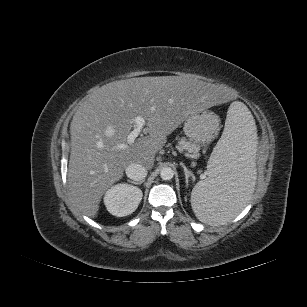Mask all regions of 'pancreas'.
Masks as SVG:
<instances>
[{
	"mask_svg": "<svg viewBox=\"0 0 307 307\" xmlns=\"http://www.w3.org/2000/svg\"><path fill=\"white\" fill-rule=\"evenodd\" d=\"M178 144H179L180 149L186 150V151H189V152H196L199 149L198 145H196V144H194L190 141H187L186 138H184V137L179 139Z\"/></svg>",
	"mask_w": 307,
	"mask_h": 307,
	"instance_id": "cf45deb5",
	"label": "pancreas"
}]
</instances>
